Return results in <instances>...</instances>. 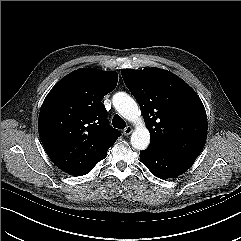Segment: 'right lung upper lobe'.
I'll return each mask as SVG.
<instances>
[{
	"label": "right lung upper lobe",
	"instance_id": "right-lung-upper-lobe-1",
	"mask_svg": "<svg viewBox=\"0 0 241 241\" xmlns=\"http://www.w3.org/2000/svg\"><path fill=\"white\" fill-rule=\"evenodd\" d=\"M116 72L81 68L62 78L39 114L42 144L53 163L72 174L105 157L120 136L107 122L103 97L117 86Z\"/></svg>",
	"mask_w": 241,
	"mask_h": 241
}]
</instances>
